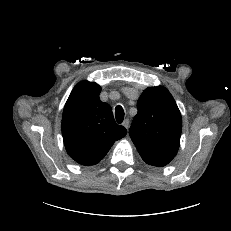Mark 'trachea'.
<instances>
[{"mask_svg":"<svg viewBox=\"0 0 231 231\" xmlns=\"http://www.w3.org/2000/svg\"><path fill=\"white\" fill-rule=\"evenodd\" d=\"M115 118L118 123H122L124 119V110L123 108L119 105L116 106L115 108Z\"/></svg>","mask_w":231,"mask_h":231,"instance_id":"trachea-1","label":"trachea"}]
</instances>
